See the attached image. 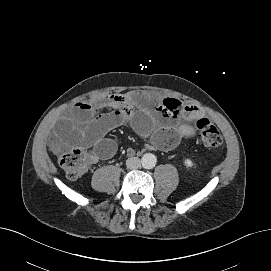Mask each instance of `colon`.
Masks as SVG:
<instances>
[{
  "label": "colon",
  "mask_w": 271,
  "mask_h": 271,
  "mask_svg": "<svg viewBox=\"0 0 271 271\" xmlns=\"http://www.w3.org/2000/svg\"><path fill=\"white\" fill-rule=\"evenodd\" d=\"M202 143L211 148L220 147L223 138L214 124L206 118H199L195 122ZM92 162V157L83 149H73L60 158V165L70 179L83 176Z\"/></svg>",
  "instance_id": "colon-1"
}]
</instances>
